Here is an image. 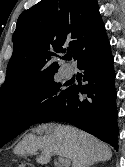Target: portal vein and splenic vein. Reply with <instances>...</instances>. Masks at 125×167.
Masks as SVG:
<instances>
[{"instance_id":"18ae733b","label":"portal vein and splenic vein","mask_w":125,"mask_h":167,"mask_svg":"<svg viewBox=\"0 0 125 167\" xmlns=\"http://www.w3.org/2000/svg\"><path fill=\"white\" fill-rule=\"evenodd\" d=\"M58 160L63 167H69V165L71 163L68 158H64V157H59Z\"/></svg>"}]
</instances>
